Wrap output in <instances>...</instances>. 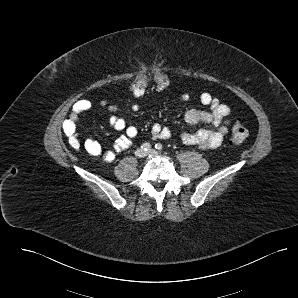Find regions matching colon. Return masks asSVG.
Listing matches in <instances>:
<instances>
[{
    "mask_svg": "<svg viewBox=\"0 0 298 298\" xmlns=\"http://www.w3.org/2000/svg\"><path fill=\"white\" fill-rule=\"evenodd\" d=\"M154 82L158 89L163 90L169 85V77L166 72L159 70L154 73ZM149 83L148 73L138 72L130 85V90L137 97L143 96L148 89ZM63 130L68 137L70 145L74 148L79 147L77 120L67 117L63 123ZM247 137V128L240 122H235L231 128V142L233 144H241Z\"/></svg>",
    "mask_w": 298,
    "mask_h": 298,
    "instance_id": "1",
    "label": "colon"
}]
</instances>
